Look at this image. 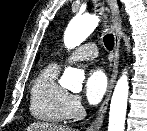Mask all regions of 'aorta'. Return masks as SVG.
Segmentation results:
<instances>
[{"label":"aorta","instance_id":"762f6f07","mask_svg":"<svg viewBox=\"0 0 147 131\" xmlns=\"http://www.w3.org/2000/svg\"><path fill=\"white\" fill-rule=\"evenodd\" d=\"M96 15L75 16L69 23L64 43L68 49L79 46L98 26ZM85 78L84 72L77 68L67 67L61 77L62 87L71 91H80ZM129 82L126 72L118 80L110 104L108 131H124L127 111Z\"/></svg>","mask_w":147,"mask_h":131}]
</instances>
